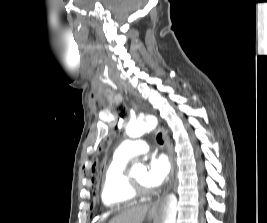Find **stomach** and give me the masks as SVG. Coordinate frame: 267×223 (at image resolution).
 <instances>
[{
    "label": "stomach",
    "mask_w": 267,
    "mask_h": 223,
    "mask_svg": "<svg viewBox=\"0 0 267 223\" xmlns=\"http://www.w3.org/2000/svg\"><path fill=\"white\" fill-rule=\"evenodd\" d=\"M155 215H156V213H155V212H153V211H150L148 216H149V218H150V219H152V218H154V217H155Z\"/></svg>",
    "instance_id": "stomach-1"
}]
</instances>
